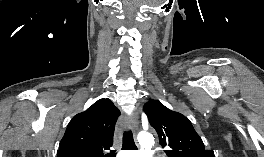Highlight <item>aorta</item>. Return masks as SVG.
Masks as SVG:
<instances>
[{
	"label": "aorta",
	"instance_id": "1",
	"mask_svg": "<svg viewBox=\"0 0 264 157\" xmlns=\"http://www.w3.org/2000/svg\"><path fill=\"white\" fill-rule=\"evenodd\" d=\"M139 144L142 148H149L153 145V136L150 133H142L138 136Z\"/></svg>",
	"mask_w": 264,
	"mask_h": 157
}]
</instances>
